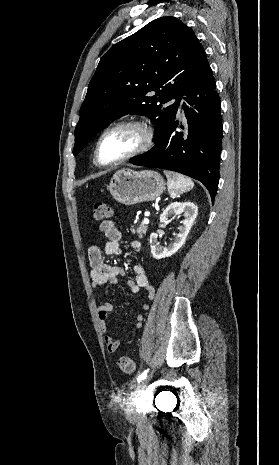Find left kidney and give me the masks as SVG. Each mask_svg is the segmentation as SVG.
<instances>
[{"mask_svg": "<svg viewBox=\"0 0 279 465\" xmlns=\"http://www.w3.org/2000/svg\"><path fill=\"white\" fill-rule=\"evenodd\" d=\"M182 213H184L185 219L181 222L182 225L179 227V232L174 238V241L167 247L159 243L157 233H152L150 235L151 253L155 259L159 260L170 257L182 247L197 217L198 207L193 202H174L168 205L160 215V225L163 226L168 223L172 215Z\"/></svg>", "mask_w": 279, "mask_h": 465, "instance_id": "1", "label": "left kidney"}]
</instances>
